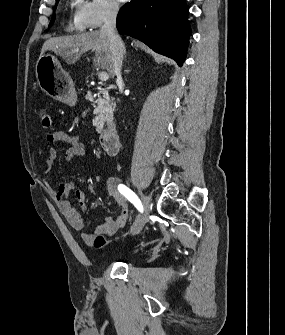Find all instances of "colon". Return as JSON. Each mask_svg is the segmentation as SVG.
<instances>
[{
  "label": "colon",
  "instance_id": "colon-1",
  "mask_svg": "<svg viewBox=\"0 0 285 335\" xmlns=\"http://www.w3.org/2000/svg\"><path fill=\"white\" fill-rule=\"evenodd\" d=\"M39 120L43 128L48 129L51 127V116L46 109H41L39 111ZM108 242L109 239L105 235H98L93 240V246L100 249L103 248Z\"/></svg>",
  "mask_w": 285,
  "mask_h": 335
}]
</instances>
